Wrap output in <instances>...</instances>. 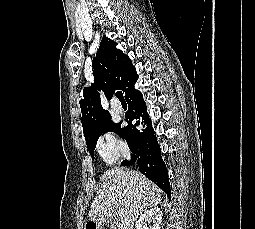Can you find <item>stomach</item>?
I'll use <instances>...</instances> for the list:
<instances>
[{"label": "stomach", "mask_w": 255, "mask_h": 229, "mask_svg": "<svg viewBox=\"0 0 255 229\" xmlns=\"http://www.w3.org/2000/svg\"><path fill=\"white\" fill-rule=\"evenodd\" d=\"M90 224H92V226H94V229H101L100 225L97 224L96 222L91 221Z\"/></svg>", "instance_id": "0dacf381"}]
</instances>
